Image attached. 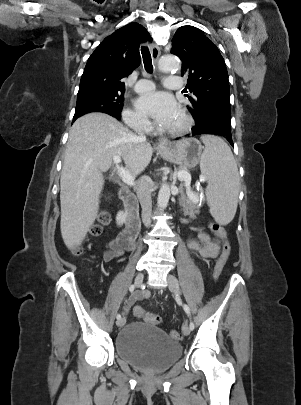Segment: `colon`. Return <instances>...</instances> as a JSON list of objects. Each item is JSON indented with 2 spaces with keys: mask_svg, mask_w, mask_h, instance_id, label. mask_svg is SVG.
<instances>
[{
  "mask_svg": "<svg viewBox=\"0 0 301 405\" xmlns=\"http://www.w3.org/2000/svg\"><path fill=\"white\" fill-rule=\"evenodd\" d=\"M110 221V216L102 212L97 216L96 222L90 227L89 233L92 236H99L102 232L103 227L108 224ZM209 229L213 232L218 238L223 241V248L219 258L216 261L215 268H214V278L218 279L228 261L231 252V246L227 238L226 230L217 223H211L209 225ZM75 253H79L80 250L78 248L74 249ZM133 314L135 317L143 319L144 321L158 325L161 322V317L158 314L148 313L142 307L136 306L133 310ZM169 335L172 339L180 340L182 338L181 333L178 330H171Z\"/></svg>",
  "mask_w": 301,
  "mask_h": 405,
  "instance_id": "5ec220e1",
  "label": "colon"
}]
</instances>
